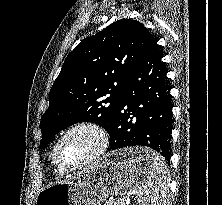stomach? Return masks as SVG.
I'll list each match as a JSON object with an SVG mask.
<instances>
[{"label":"stomach","mask_w":222,"mask_h":205,"mask_svg":"<svg viewBox=\"0 0 222 205\" xmlns=\"http://www.w3.org/2000/svg\"><path fill=\"white\" fill-rule=\"evenodd\" d=\"M148 148L119 150L98 159L77 176L43 188L36 205H97L108 196H121L139 188L145 180Z\"/></svg>","instance_id":"1"}]
</instances>
